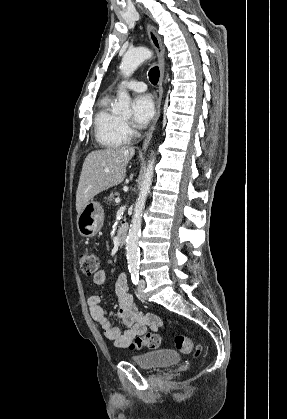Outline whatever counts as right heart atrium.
Masks as SVG:
<instances>
[{"instance_id": "right-heart-atrium-1", "label": "right heart atrium", "mask_w": 287, "mask_h": 419, "mask_svg": "<svg viewBox=\"0 0 287 419\" xmlns=\"http://www.w3.org/2000/svg\"><path fill=\"white\" fill-rule=\"evenodd\" d=\"M122 129L127 137L132 136L133 130L127 121H122Z\"/></svg>"}]
</instances>
